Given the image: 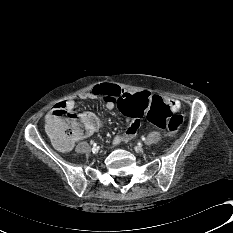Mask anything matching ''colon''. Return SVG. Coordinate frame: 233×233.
<instances>
[{"label": "colon", "instance_id": "obj_1", "mask_svg": "<svg viewBox=\"0 0 233 233\" xmlns=\"http://www.w3.org/2000/svg\"><path fill=\"white\" fill-rule=\"evenodd\" d=\"M93 96L99 102L110 103L133 118L146 112V119L156 127L176 134L180 129L183 117L178 113L179 106H167L162 99L148 90L128 92L111 83H99L93 89ZM98 126L94 116L88 113H76L64 104L56 105L48 118L47 127L55 139H81L89 135Z\"/></svg>", "mask_w": 233, "mask_h": 233}]
</instances>
